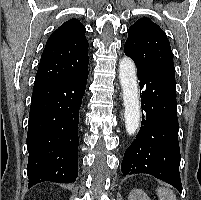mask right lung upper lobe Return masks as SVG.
<instances>
[{
	"label": "right lung upper lobe",
	"instance_id": "cb5924a9",
	"mask_svg": "<svg viewBox=\"0 0 201 200\" xmlns=\"http://www.w3.org/2000/svg\"><path fill=\"white\" fill-rule=\"evenodd\" d=\"M85 31L78 19H70L51 34L41 56L34 88L69 79L88 65Z\"/></svg>",
	"mask_w": 201,
	"mask_h": 200
}]
</instances>
